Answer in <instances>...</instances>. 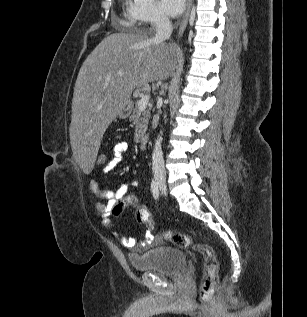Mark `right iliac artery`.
Listing matches in <instances>:
<instances>
[{
  "label": "right iliac artery",
  "instance_id": "right-iliac-artery-1",
  "mask_svg": "<svg viewBox=\"0 0 307 317\" xmlns=\"http://www.w3.org/2000/svg\"><path fill=\"white\" fill-rule=\"evenodd\" d=\"M151 191H152L153 197L155 199H158L159 198V187H158V183L156 182L155 179H153L151 182Z\"/></svg>",
  "mask_w": 307,
  "mask_h": 317
}]
</instances>
